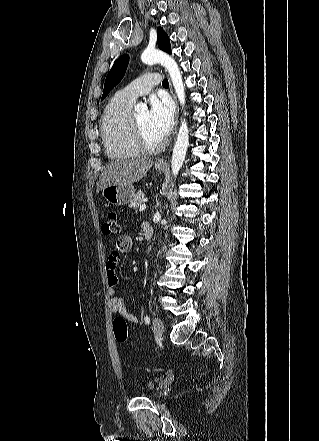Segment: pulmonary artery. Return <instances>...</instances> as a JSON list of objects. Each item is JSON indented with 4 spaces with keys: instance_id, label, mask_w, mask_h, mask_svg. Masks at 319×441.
<instances>
[{
    "instance_id": "e3ab8cb5",
    "label": "pulmonary artery",
    "mask_w": 319,
    "mask_h": 441,
    "mask_svg": "<svg viewBox=\"0 0 319 441\" xmlns=\"http://www.w3.org/2000/svg\"><path fill=\"white\" fill-rule=\"evenodd\" d=\"M159 84H161V76L157 73H149L131 82L120 90L118 94L127 100L135 102L138 97L146 95L154 86Z\"/></svg>"
}]
</instances>
